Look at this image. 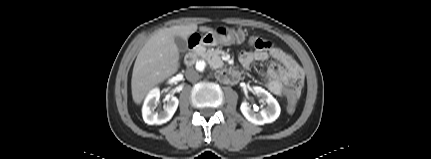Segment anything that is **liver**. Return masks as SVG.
I'll use <instances>...</instances> for the list:
<instances>
[{"label": "liver", "instance_id": "obj_1", "mask_svg": "<svg viewBox=\"0 0 431 159\" xmlns=\"http://www.w3.org/2000/svg\"><path fill=\"white\" fill-rule=\"evenodd\" d=\"M197 29V24L172 26L158 30L147 40L137 55L131 79L132 98L137 105L155 86L178 71L180 55L174 37L187 40ZM199 30L203 33L213 31L206 26Z\"/></svg>", "mask_w": 431, "mask_h": 159}]
</instances>
